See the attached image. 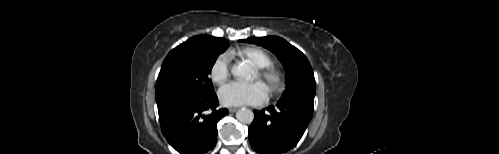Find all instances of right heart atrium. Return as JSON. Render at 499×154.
<instances>
[{"mask_svg":"<svg viewBox=\"0 0 499 154\" xmlns=\"http://www.w3.org/2000/svg\"><path fill=\"white\" fill-rule=\"evenodd\" d=\"M210 78L216 84L224 83L230 75V64L226 56L215 59L210 68Z\"/></svg>","mask_w":499,"mask_h":154,"instance_id":"obj_1","label":"right heart atrium"}]
</instances>
